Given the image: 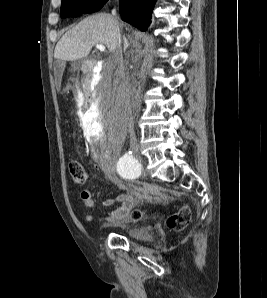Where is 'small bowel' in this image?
I'll return each mask as SVG.
<instances>
[{
	"label": "small bowel",
	"mask_w": 267,
	"mask_h": 298,
	"mask_svg": "<svg viewBox=\"0 0 267 298\" xmlns=\"http://www.w3.org/2000/svg\"><path fill=\"white\" fill-rule=\"evenodd\" d=\"M110 180L115 185L126 188L125 182L116 175H110ZM138 190L134 187H128L127 193H120L115 198H108L103 202L106 207L112 206L114 203H120V206L104 216L105 221L111 225H122L127 222V216L135 203ZM83 204L91 209L95 208V202L88 190H83L80 194ZM87 222H92V216H85Z\"/></svg>",
	"instance_id": "obj_1"
}]
</instances>
